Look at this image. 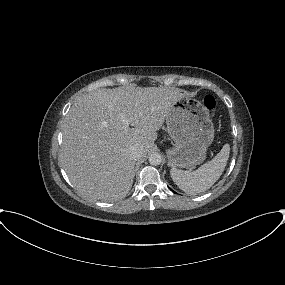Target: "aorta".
I'll return each mask as SVG.
<instances>
[{
  "mask_svg": "<svg viewBox=\"0 0 285 285\" xmlns=\"http://www.w3.org/2000/svg\"><path fill=\"white\" fill-rule=\"evenodd\" d=\"M162 162V156L159 153H152L149 156V163L153 166L160 165Z\"/></svg>",
  "mask_w": 285,
  "mask_h": 285,
  "instance_id": "1",
  "label": "aorta"
}]
</instances>
